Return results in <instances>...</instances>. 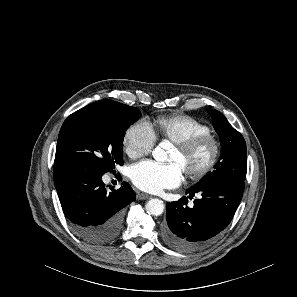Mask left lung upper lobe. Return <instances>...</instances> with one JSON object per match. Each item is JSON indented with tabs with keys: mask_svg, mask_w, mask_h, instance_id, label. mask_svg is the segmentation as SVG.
Wrapping results in <instances>:
<instances>
[{
	"mask_svg": "<svg viewBox=\"0 0 297 297\" xmlns=\"http://www.w3.org/2000/svg\"><path fill=\"white\" fill-rule=\"evenodd\" d=\"M213 126L220 136L221 156L214 170L203 177L195 186L215 181L244 183L247 171V149L243 136L235 130L224 115L210 110ZM194 186V187H195Z\"/></svg>",
	"mask_w": 297,
	"mask_h": 297,
	"instance_id": "1",
	"label": "left lung upper lobe"
}]
</instances>
